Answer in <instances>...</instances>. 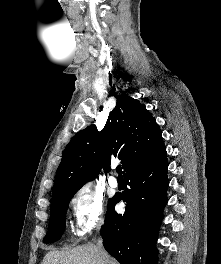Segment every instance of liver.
<instances>
[{
    "label": "liver",
    "instance_id": "1",
    "mask_svg": "<svg viewBox=\"0 0 221 264\" xmlns=\"http://www.w3.org/2000/svg\"><path fill=\"white\" fill-rule=\"evenodd\" d=\"M41 264H119L105 252V257L98 253L97 246L87 244L67 251L48 252Z\"/></svg>",
    "mask_w": 221,
    "mask_h": 264
}]
</instances>
